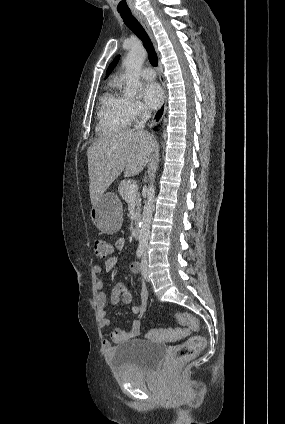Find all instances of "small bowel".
Wrapping results in <instances>:
<instances>
[{
	"mask_svg": "<svg viewBox=\"0 0 285 424\" xmlns=\"http://www.w3.org/2000/svg\"><path fill=\"white\" fill-rule=\"evenodd\" d=\"M115 249L118 253L122 252L125 248V240L124 238H119L115 242ZM119 257L117 255L108 258L105 261L104 268L107 272L112 271L116 265L118 264ZM131 271L135 274H139L140 272V264L138 262H134L131 264ZM94 272L96 275L101 274L102 268L99 265L94 266ZM140 286H141V301L138 304L132 306V311L141 319L148 307V291L146 282L140 278ZM97 288V306L100 312L101 325L102 327H108L110 325V319L106 315L105 308L108 304L117 305L120 301L124 304H130L132 302V294L126 288V286L122 283L116 284L109 295L106 294L104 290V282L101 278L97 279L96 282ZM136 320L133 322V325L130 330L126 331L121 328H114L111 332L110 339H103L101 347L102 351L106 356H110L115 347L119 344L131 340L133 338L138 337L141 334V323L140 320ZM185 335L188 334V331H184Z\"/></svg>",
	"mask_w": 285,
	"mask_h": 424,
	"instance_id": "obj_1",
	"label": "small bowel"
}]
</instances>
